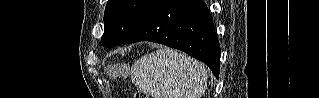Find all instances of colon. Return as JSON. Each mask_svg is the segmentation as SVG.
<instances>
[{
	"mask_svg": "<svg viewBox=\"0 0 319 98\" xmlns=\"http://www.w3.org/2000/svg\"><path fill=\"white\" fill-rule=\"evenodd\" d=\"M147 94L143 90H138L136 93V98H147Z\"/></svg>",
	"mask_w": 319,
	"mask_h": 98,
	"instance_id": "1",
	"label": "colon"
}]
</instances>
